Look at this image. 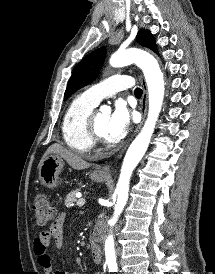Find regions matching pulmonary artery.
Wrapping results in <instances>:
<instances>
[{
	"label": "pulmonary artery",
	"instance_id": "pulmonary-artery-1",
	"mask_svg": "<svg viewBox=\"0 0 215 274\" xmlns=\"http://www.w3.org/2000/svg\"><path fill=\"white\" fill-rule=\"evenodd\" d=\"M133 79L127 75H113L104 81L88 88L83 94L98 104L103 98L109 97L118 91L131 88Z\"/></svg>",
	"mask_w": 215,
	"mask_h": 274
}]
</instances>
